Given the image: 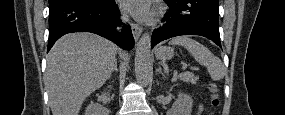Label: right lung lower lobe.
Listing matches in <instances>:
<instances>
[{"instance_id":"98d812e1","label":"right lung lower lobe","mask_w":285,"mask_h":115,"mask_svg":"<svg viewBox=\"0 0 285 115\" xmlns=\"http://www.w3.org/2000/svg\"><path fill=\"white\" fill-rule=\"evenodd\" d=\"M120 24L115 0H104L101 3L61 0L49 6L48 51L61 36L70 32H92L131 50L134 47L131 28L126 25L122 33H118L115 28Z\"/></svg>"}]
</instances>
